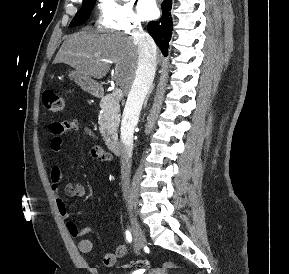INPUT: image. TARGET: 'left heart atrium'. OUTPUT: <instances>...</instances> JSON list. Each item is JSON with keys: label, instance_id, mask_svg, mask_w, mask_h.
Returning <instances> with one entry per match:
<instances>
[{"label": "left heart atrium", "instance_id": "1", "mask_svg": "<svg viewBox=\"0 0 289 274\" xmlns=\"http://www.w3.org/2000/svg\"><path fill=\"white\" fill-rule=\"evenodd\" d=\"M138 12L143 19H152L158 14V7L155 0H139Z\"/></svg>", "mask_w": 289, "mask_h": 274}]
</instances>
